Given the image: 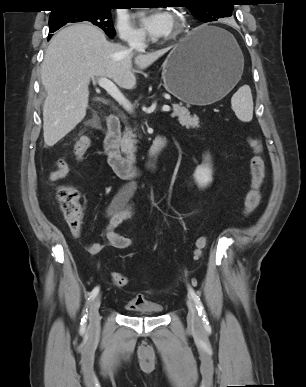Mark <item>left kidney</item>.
<instances>
[{
	"label": "left kidney",
	"mask_w": 306,
	"mask_h": 387,
	"mask_svg": "<svg viewBox=\"0 0 306 387\" xmlns=\"http://www.w3.org/2000/svg\"><path fill=\"white\" fill-rule=\"evenodd\" d=\"M205 163L198 166L193 174L195 181L200 187L207 186L212 181V169L209 158L205 157Z\"/></svg>",
	"instance_id": "1"
}]
</instances>
